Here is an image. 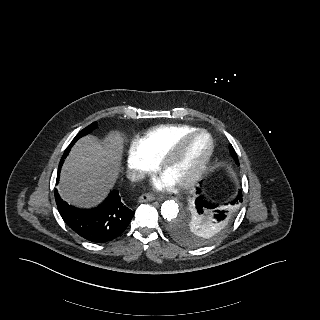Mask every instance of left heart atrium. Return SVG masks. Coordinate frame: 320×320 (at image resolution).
<instances>
[{
    "mask_svg": "<svg viewBox=\"0 0 320 320\" xmlns=\"http://www.w3.org/2000/svg\"><path fill=\"white\" fill-rule=\"evenodd\" d=\"M173 185H174V182L167 179L166 177L156 179L154 181V186L158 189H167V188L172 187Z\"/></svg>",
    "mask_w": 320,
    "mask_h": 320,
    "instance_id": "1",
    "label": "left heart atrium"
}]
</instances>
